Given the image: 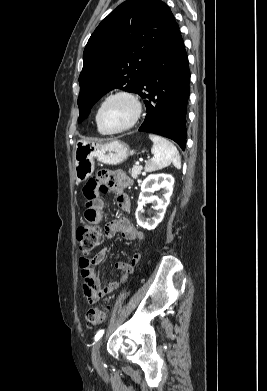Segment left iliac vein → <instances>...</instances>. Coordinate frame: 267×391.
Listing matches in <instances>:
<instances>
[{
	"label": "left iliac vein",
	"mask_w": 267,
	"mask_h": 391,
	"mask_svg": "<svg viewBox=\"0 0 267 391\" xmlns=\"http://www.w3.org/2000/svg\"><path fill=\"white\" fill-rule=\"evenodd\" d=\"M101 344H102V340H99L97 341L93 348H92V361H93V365L99 369V370H102L103 369V360H102V357H101V353H100V348H101Z\"/></svg>",
	"instance_id": "1"
}]
</instances>
